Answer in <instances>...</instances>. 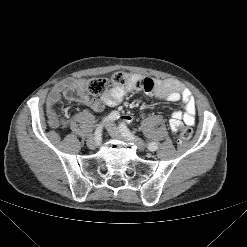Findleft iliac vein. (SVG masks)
Listing matches in <instances>:
<instances>
[{
	"label": "left iliac vein",
	"mask_w": 247,
	"mask_h": 247,
	"mask_svg": "<svg viewBox=\"0 0 247 247\" xmlns=\"http://www.w3.org/2000/svg\"><path fill=\"white\" fill-rule=\"evenodd\" d=\"M107 130L112 137L133 142L138 147L139 150L144 149L143 142L139 138H136L134 136H125L114 124H109L107 126Z\"/></svg>",
	"instance_id": "left-iliac-vein-1"
}]
</instances>
